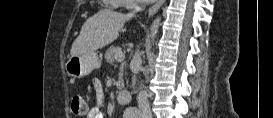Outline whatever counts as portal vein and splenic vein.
I'll return each instance as SVG.
<instances>
[{
    "mask_svg": "<svg viewBox=\"0 0 273 118\" xmlns=\"http://www.w3.org/2000/svg\"><path fill=\"white\" fill-rule=\"evenodd\" d=\"M124 58H125V55H124V53H123L122 51L117 52V53L115 54V59H116V61L121 62V61L124 60Z\"/></svg>",
    "mask_w": 273,
    "mask_h": 118,
    "instance_id": "1",
    "label": "portal vein and splenic vein"
}]
</instances>
